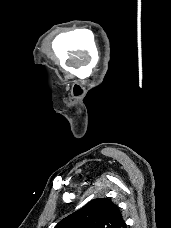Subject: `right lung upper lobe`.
<instances>
[{"mask_svg": "<svg viewBox=\"0 0 171 228\" xmlns=\"http://www.w3.org/2000/svg\"><path fill=\"white\" fill-rule=\"evenodd\" d=\"M54 228H127L119 208L97 198L60 221Z\"/></svg>", "mask_w": 171, "mask_h": 228, "instance_id": "1", "label": "right lung upper lobe"}]
</instances>
